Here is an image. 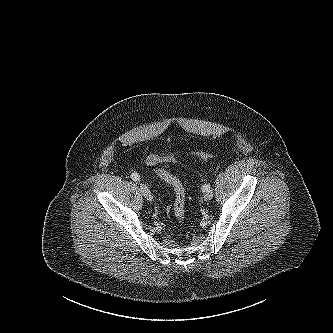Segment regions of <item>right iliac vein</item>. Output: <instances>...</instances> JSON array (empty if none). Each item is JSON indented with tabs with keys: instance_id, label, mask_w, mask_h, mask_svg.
Returning <instances> with one entry per match:
<instances>
[{
	"instance_id": "right-iliac-vein-1",
	"label": "right iliac vein",
	"mask_w": 333,
	"mask_h": 333,
	"mask_svg": "<svg viewBox=\"0 0 333 333\" xmlns=\"http://www.w3.org/2000/svg\"><path fill=\"white\" fill-rule=\"evenodd\" d=\"M140 190L142 195L148 200V201H152L153 196L149 190V188L145 185V184H140Z\"/></svg>"
}]
</instances>
